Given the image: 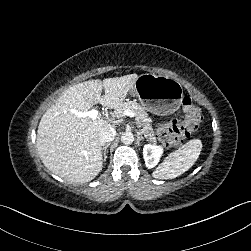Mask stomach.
<instances>
[{
  "label": "stomach",
  "mask_w": 251,
  "mask_h": 251,
  "mask_svg": "<svg viewBox=\"0 0 251 251\" xmlns=\"http://www.w3.org/2000/svg\"><path fill=\"white\" fill-rule=\"evenodd\" d=\"M128 96L137 98L149 112L166 115L179 108L183 90L180 83L175 79L144 73L137 76Z\"/></svg>",
  "instance_id": "1"
}]
</instances>
